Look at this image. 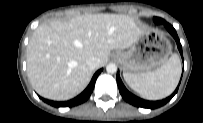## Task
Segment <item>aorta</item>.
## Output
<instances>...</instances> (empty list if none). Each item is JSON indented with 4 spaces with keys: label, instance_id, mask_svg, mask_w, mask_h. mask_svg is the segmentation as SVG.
I'll use <instances>...</instances> for the list:
<instances>
[{
    "label": "aorta",
    "instance_id": "762f6f07",
    "mask_svg": "<svg viewBox=\"0 0 203 123\" xmlns=\"http://www.w3.org/2000/svg\"><path fill=\"white\" fill-rule=\"evenodd\" d=\"M106 71H107L108 73L113 74V73H115V72L117 71V66H116L114 63H110V64H108V65L106 66Z\"/></svg>",
    "mask_w": 203,
    "mask_h": 123
}]
</instances>
